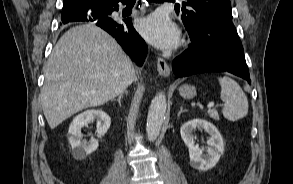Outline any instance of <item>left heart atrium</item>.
Listing matches in <instances>:
<instances>
[{"instance_id":"obj_1","label":"left heart atrium","mask_w":293,"mask_h":184,"mask_svg":"<svg viewBox=\"0 0 293 184\" xmlns=\"http://www.w3.org/2000/svg\"><path fill=\"white\" fill-rule=\"evenodd\" d=\"M139 31L150 43L162 49L176 46L180 36L176 25L161 12L153 13L142 19Z\"/></svg>"}]
</instances>
